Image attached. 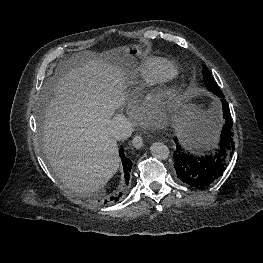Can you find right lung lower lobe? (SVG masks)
I'll return each instance as SVG.
<instances>
[{"mask_svg":"<svg viewBox=\"0 0 263 263\" xmlns=\"http://www.w3.org/2000/svg\"><path fill=\"white\" fill-rule=\"evenodd\" d=\"M120 156H121V161H122V165L124 168V173H125V182L128 183L129 179H130V170L132 168V162L130 159H128L127 157H125L124 154V149L121 148L120 149ZM122 193H120L118 196L116 197H111V201H117L119 200V198L121 197ZM108 202L107 200L105 201V203Z\"/></svg>","mask_w":263,"mask_h":263,"instance_id":"98d812e1","label":"right lung lower lobe"}]
</instances>
